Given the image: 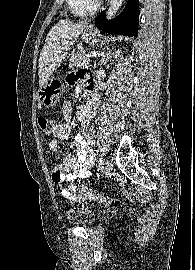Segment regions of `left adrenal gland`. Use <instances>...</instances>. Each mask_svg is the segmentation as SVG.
<instances>
[{
	"label": "left adrenal gland",
	"instance_id": "1",
	"mask_svg": "<svg viewBox=\"0 0 195 270\" xmlns=\"http://www.w3.org/2000/svg\"><path fill=\"white\" fill-rule=\"evenodd\" d=\"M120 52L119 51H108L107 53H103L102 54V59H101V65H103V63L108 62L109 59H111L114 55L117 56Z\"/></svg>",
	"mask_w": 195,
	"mask_h": 270
}]
</instances>
